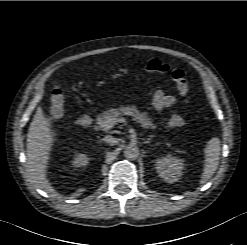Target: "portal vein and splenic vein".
Segmentation results:
<instances>
[{
	"label": "portal vein and splenic vein",
	"mask_w": 247,
	"mask_h": 245,
	"mask_svg": "<svg viewBox=\"0 0 247 245\" xmlns=\"http://www.w3.org/2000/svg\"><path fill=\"white\" fill-rule=\"evenodd\" d=\"M122 122H126V119L125 118H109L107 121H106V128L107 129H110L112 128L115 124L117 123H122Z\"/></svg>",
	"instance_id": "portal-vein-and-splenic-vein-1"
}]
</instances>
